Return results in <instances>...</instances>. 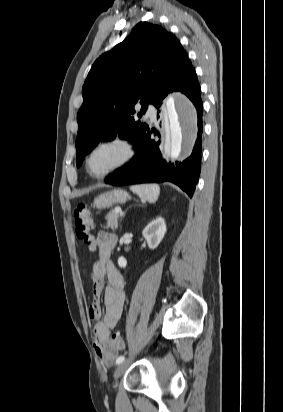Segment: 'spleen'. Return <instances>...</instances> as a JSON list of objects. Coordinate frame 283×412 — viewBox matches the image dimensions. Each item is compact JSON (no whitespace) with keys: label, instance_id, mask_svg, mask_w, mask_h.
Listing matches in <instances>:
<instances>
[{"label":"spleen","instance_id":"3e777b00","mask_svg":"<svg viewBox=\"0 0 283 412\" xmlns=\"http://www.w3.org/2000/svg\"><path fill=\"white\" fill-rule=\"evenodd\" d=\"M130 190L136 193L143 201L155 203L160 194V187L157 184L133 185Z\"/></svg>","mask_w":283,"mask_h":412}]
</instances>
